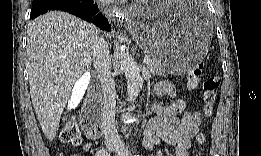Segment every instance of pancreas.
I'll return each instance as SVG.
<instances>
[{"mask_svg":"<svg viewBox=\"0 0 261 156\" xmlns=\"http://www.w3.org/2000/svg\"><path fill=\"white\" fill-rule=\"evenodd\" d=\"M150 62L147 64L148 69L153 75H162L167 69L161 64L160 61H157L155 58L149 55Z\"/></svg>","mask_w":261,"mask_h":156,"instance_id":"obj_1","label":"pancreas"}]
</instances>
